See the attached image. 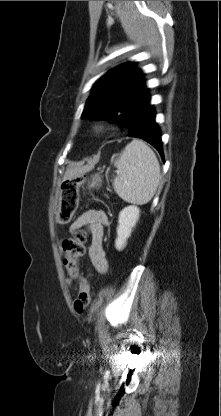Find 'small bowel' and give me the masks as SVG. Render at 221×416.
<instances>
[{
	"instance_id": "c3829d8e",
	"label": "small bowel",
	"mask_w": 221,
	"mask_h": 416,
	"mask_svg": "<svg viewBox=\"0 0 221 416\" xmlns=\"http://www.w3.org/2000/svg\"><path fill=\"white\" fill-rule=\"evenodd\" d=\"M107 224L108 216L105 212L88 210L80 214L69 227V232L71 233L82 228L89 231L91 237V244L88 250L89 258L95 270L101 274L106 273L108 270V260L103 247L104 227Z\"/></svg>"
}]
</instances>
